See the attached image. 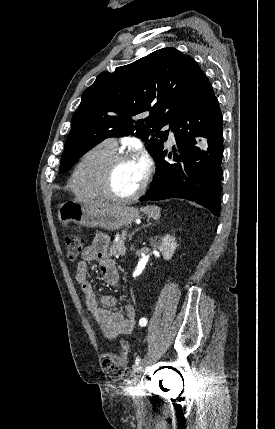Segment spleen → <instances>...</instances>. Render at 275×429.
Listing matches in <instances>:
<instances>
[{
    "instance_id": "spleen-1",
    "label": "spleen",
    "mask_w": 275,
    "mask_h": 429,
    "mask_svg": "<svg viewBox=\"0 0 275 429\" xmlns=\"http://www.w3.org/2000/svg\"><path fill=\"white\" fill-rule=\"evenodd\" d=\"M140 210L155 220L160 218L161 209L158 206H146L140 208Z\"/></svg>"
}]
</instances>
